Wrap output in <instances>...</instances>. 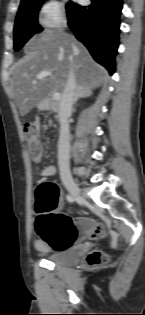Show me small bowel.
I'll return each mask as SVG.
<instances>
[{
  "label": "small bowel",
  "instance_id": "1",
  "mask_svg": "<svg viewBox=\"0 0 145 315\" xmlns=\"http://www.w3.org/2000/svg\"><path fill=\"white\" fill-rule=\"evenodd\" d=\"M35 126L38 128L40 126L39 121H35ZM56 174V168L54 165H46L39 171V176L41 177H52ZM60 198V197H59ZM59 207H62V200L61 205ZM34 248L39 254H47L51 251V247L49 244L44 242L41 239H37L34 242Z\"/></svg>",
  "mask_w": 145,
  "mask_h": 315
}]
</instances>
